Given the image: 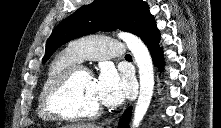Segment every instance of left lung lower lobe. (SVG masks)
I'll return each mask as SVG.
<instances>
[{"label":"left lung lower lobe","mask_w":221,"mask_h":128,"mask_svg":"<svg viewBox=\"0 0 221 128\" xmlns=\"http://www.w3.org/2000/svg\"><path fill=\"white\" fill-rule=\"evenodd\" d=\"M159 37L160 33L157 29V27L154 25L151 31L149 32L148 36L144 39V43L147 45L152 59L153 63L159 66L160 69L163 67V51L159 47ZM131 109H127L124 114L123 118L120 120L119 128H127L128 127V121L130 119ZM125 120V121H124Z\"/></svg>","instance_id":"1"}]
</instances>
